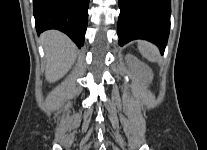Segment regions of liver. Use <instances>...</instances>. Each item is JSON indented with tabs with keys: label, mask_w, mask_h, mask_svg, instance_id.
I'll return each mask as SVG.
<instances>
[{
	"label": "liver",
	"mask_w": 207,
	"mask_h": 150,
	"mask_svg": "<svg viewBox=\"0 0 207 150\" xmlns=\"http://www.w3.org/2000/svg\"><path fill=\"white\" fill-rule=\"evenodd\" d=\"M41 42L46 54L45 78L53 83L72 67L76 59V47L66 35L55 30L43 33Z\"/></svg>",
	"instance_id": "liver-1"
}]
</instances>
